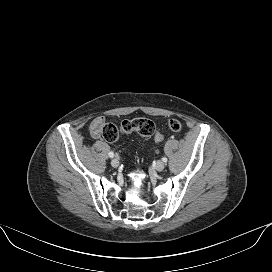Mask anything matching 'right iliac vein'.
Here are the masks:
<instances>
[{
    "label": "right iliac vein",
    "instance_id": "right-iliac-vein-1",
    "mask_svg": "<svg viewBox=\"0 0 272 272\" xmlns=\"http://www.w3.org/2000/svg\"><path fill=\"white\" fill-rule=\"evenodd\" d=\"M111 165L114 167V168H117L119 166V160L117 158H113L111 160Z\"/></svg>",
    "mask_w": 272,
    "mask_h": 272
}]
</instances>
